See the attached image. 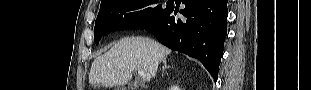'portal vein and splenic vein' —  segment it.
I'll list each match as a JSON object with an SVG mask.
<instances>
[{
    "label": "portal vein and splenic vein",
    "instance_id": "18ae733b",
    "mask_svg": "<svg viewBox=\"0 0 311 90\" xmlns=\"http://www.w3.org/2000/svg\"><path fill=\"white\" fill-rule=\"evenodd\" d=\"M137 72L143 78L144 81H150V79H151V75L150 74H148V73H146V72H144L142 70H138Z\"/></svg>",
    "mask_w": 311,
    "mask_h": 90
}]
</instances>
